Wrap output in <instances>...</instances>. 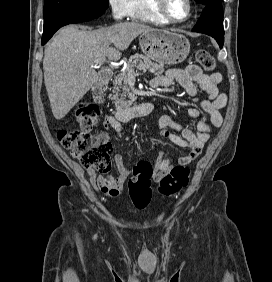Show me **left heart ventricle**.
Returning <instances> with one entry per match:
<instances>
[{
    "mask_svg": "<svg viewBox=\"0 0 272 282\" xmlns=\"http://www.w3.org/2000/svg\"><path fill=\"white\" fill-rule=\"evenodd\" d=\"M169 13L178 19L184 18L187 14V5L185 0H165Z\"/></svg>",
    "mask_w": 272,
    "mask_h": 282,
    "instance_id": "1",
    "label": "left heart ventricle"
}]
</instances>
